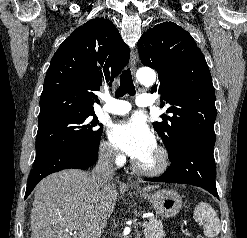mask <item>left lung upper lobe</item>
I'll return each mask as SVG.
<instances>
[{
  "label": "left lung upper lobe",
  "mask_w": 247,
  "mask_h": 238,
  "mask_svg": "<svg viewBox=\"0 0 247 238\" xmlns=\"http://www.w3.org/2000/svg\"><path fill=\"white\" fill-rule=\"evenodd\" d=\"M141 62L156 69L159 83L151 93L161 94L168 106L153 127L168 155L179 144L192 142L213 150L216 119L215 91L205 57L192 36L173 22L155 25L138 41Z\"/></svg>",
  "instance_id": "obj_1"
}]
</instances>
